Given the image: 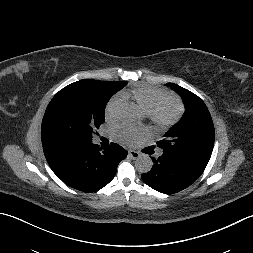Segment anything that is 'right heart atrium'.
<instances>
[{
    "mask_svg": "<svg viewBox=\"0 0 253 253\" xmlns=\"http://www.w3.org/2000/svg\"><path fill=\"white\" fill-rule=\"evenodd\" d=\"M125 99L121 94L111 98L105 107V118L108 122H117L120 118Z\"/></svg>",
    "mask_w": 253,
    "mask_h": 253,
    "instance_id": "obj_1",
    "label": "right heart atrium"
}]
</instances>
